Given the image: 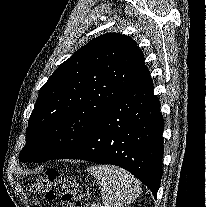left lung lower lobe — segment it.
<instances>
[{"label": "left lung lower lobe", "instance_id": "obj_1", "mask_svg": "<svg viewBox=\"0 0 206 207\" xmlns=\"http://www.w3.org/2000/svg\"><path fill=\"white\" fill-rule=\"evenodd\" d=\"M164 121L146 67L106 109L89 139L68 159L122 167L156 198L162 178Z\"/></svg>", "mask_w": 206, "mask_h": 207}]
</instances>
